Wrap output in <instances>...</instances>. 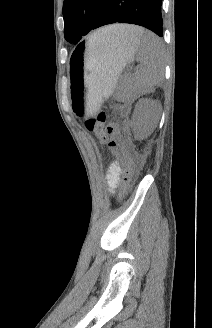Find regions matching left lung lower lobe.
Listing matches in <instances>:
<instances>
[{
	"instance_id": "0a47b994",
	"label": "left lung lower lobe",
	"mask_w": 212,
	"mask_h": 328,
	"mask_svg": "<svg viewBox=\"0 0 212 328\" xmlns=\"http://www.w3.org/2000/svg\"><path fill=\"white\" fill-rule=\"evenodd\" d=\"M161 3L162 0H103L92 30L120 22L143 26L162 37Z\"/></svg>"
}]
</instances>
